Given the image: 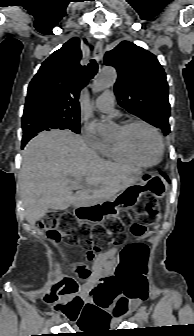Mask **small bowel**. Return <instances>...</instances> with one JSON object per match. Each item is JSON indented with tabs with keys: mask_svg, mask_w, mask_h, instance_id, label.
I'll list each match as a JSON object with an SVG mask.
<instances>
[{
	"mask_svg": "<svg viewBox=\"0 0 194 336\" xmlns=\"http://www.w3.org/2000/svg\"><path fill=\"white\" fill-rule=\"evenodd\" d=\"M122 251L118 247H112L105 253L95 257L92 264V273L80 286L79 294L85 300V308L78 319V326L83 329L88 323L108 322L112 319V308L115 303V293L112 288L106 286L109 281H114V272L120 262ZM145 268L139 272L137 286L145 289L143 278ZM118 291H120L118 289ZM128 306L125 312H127ZM124 312V313H125Z\"/></svg>",
	"mask_w": 194,
	"mask_h": 336,
	"instance_id": "small-bowel-1",
	"label": "small bowel"
}]
</instances>
